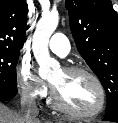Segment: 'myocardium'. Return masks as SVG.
I'll use <instances>...</instances> for the list:
<instances>
[{
	"instance_id": "f54148a6",
	"label": "myocardium",
	"mask_w": 118,
	"mask_h": 123,
	"mask_svg": "<svg viewBox=\"0 0 118 123\" xmlns=\"http://www.w3.org/2000/svg\"><path fill=\"white\" fill-rule=\"evenodd\" d=\"M63 71L70 74H85L87 75L95 84L98 94H99V101L95 109L89 112H78L71 108H69L60 98L58 91L52 85L51 86V94L53 98V102L55 106L64 112L65 114L78 119H89L98 116L105 108L106 105V90L104 85L102 84L99 77L90 69L80 66H67L63 68Z\"/></svg>"
}]
</instances>
